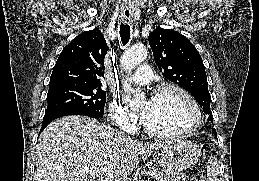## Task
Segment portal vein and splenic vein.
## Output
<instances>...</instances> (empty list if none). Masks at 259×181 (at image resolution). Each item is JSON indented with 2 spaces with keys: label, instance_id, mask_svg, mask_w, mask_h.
Masks as SVG:
<instances>
[{
  "label": "portal vein and splenic vein",
  "instance_id": "obj_1",
  "mask_svg": "<svg viewBox=\"0 0 259 181\" xmlns=\"http://www.w3.org/2000/svg\"><path fill=\"white\" fill-rule=\"evenodd\" d=\"M85 171L91 175H96L99 172V170H96L93 168H87V169H85ZM157 181H163V179L157 178Z\"/></svg>",
  "mask_w": 259,
  "mask_h": 181
}]
</instances>
